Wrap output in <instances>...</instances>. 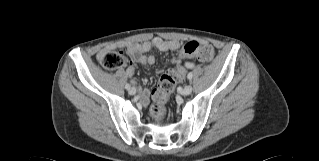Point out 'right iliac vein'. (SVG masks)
I'll return each mask as SVG.
<instances>
[{
  "instance_id": "obj_1",
  "label": "right iliac vein",
  "mask_w": 319,
  "mask_h": 161,
  "mask_svg": "<svg viewBox=\"0 0 319 161\" xmlns=\"http://www.w3.org/2000/svg\"><path fill=\"white\" fill-rule=\"evenodd\" d=\"M136 93V89L134 88V87H131L130 89H129V94L130 95H134Z\"/></svg>"
}]
</instances>
